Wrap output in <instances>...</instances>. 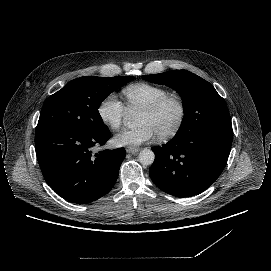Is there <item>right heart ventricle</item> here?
I'll return each mask as SVG.
<instances>
[{
	"label": "right heart ventricle",
	"instance_id": "right-heart-ventricle-1",
	"mask_svg": "<svg viewBox=\"0 0 271 271\" xmlns=\"http://www.w3.org/2000/svg\"><path fill=\"white\" fill-rule=\"evenodd\" d=\"M122 93L130 110H142L169 94V91L163 86L139 82L126 86L123 88Z\"/></svg>",
	"mask_w": 271,
	"mask_h": 271
}]
</instances>
